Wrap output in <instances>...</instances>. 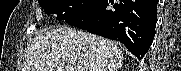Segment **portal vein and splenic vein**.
Here are the masks:
<instances>
[{
    "label": "portal vein and splenic vein",
    "mask_w": 181,
    "mask_h": 71,
    "mask_svg": "<svg viewBox=\"0 0 181 71\" xmlns=\"http://www.w3.org/2000/svg\"><path fill=\"white\" fill-rule=\"evenodd\" d=\"M66 70H67V71H73V69H69V68H68V69H66Z\"/></svg>",
    "instance_id": "portal-vein-and-splenic-vein-1"
}]
</instances>
